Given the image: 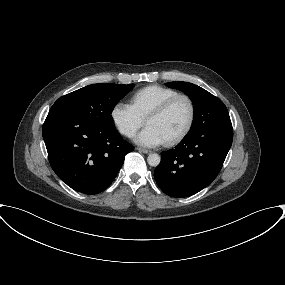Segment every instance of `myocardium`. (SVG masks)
Segmentation results:
<instances>
[{
    "label": "myocardium",
    "mask_w": 285,
    "mask_h": 285,
    "mask_svg": "<svg viewBox=\"0 0 285 285\" xmlns=\"http://www.w3.org/2000/svg\"><path fill=\"white\" fill-rule=\"evenodd\" d=\"M179 100H185L187 102L189 106V117L184 128L177 135L164 142L166 146H172L179 143L190 132L196 116V107L193 99L186 94H177L157 106L145 118V122L147 123L149 119L163 115Z\"/></svg>",
    "instance_id": "1"
}]
</instances>
